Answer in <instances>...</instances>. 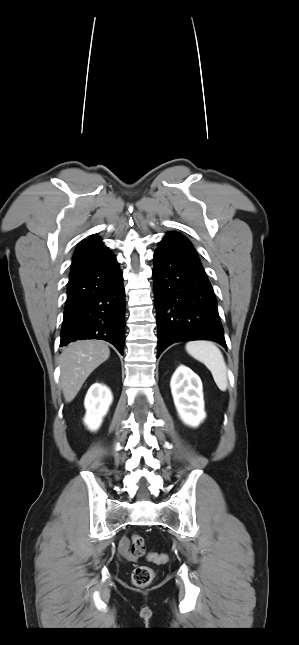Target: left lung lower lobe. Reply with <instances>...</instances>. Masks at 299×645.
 <instances>
[{
  "mask_svg": "<svg viewBox=\"0 0 299 645\" xmlns=\"http://www.w3.org/2000/svg\"><path fill=\"white\" fill-rule=\"evenodd\" d=\"M157 357L171 344L212 340L226 348L217 302L191 242L170 232L154 253Z\"/></svg>",
  "mask_w": 299,
  "mask_h": 645,
  "instance_id": "obj_1",
  "label": "left lung lower lobe"
}]
</instances>
